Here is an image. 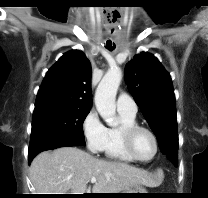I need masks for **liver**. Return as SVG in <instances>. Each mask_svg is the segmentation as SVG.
Instances as JSON below:
<instances>
[{"instance_id":"6515ba94","label":"liver","mask_w":208,"mask_h":198,"mask_svg":"<svg viewBox=\"0 0 208 198\" xmlns=\"http://www.w3.org/2000/svg\"><path fill=\"white\" fill-rule=\"evenodd\" d=\"M37 194H84L92 177V193H120L136 185L154 187L162 179L126 163L95 158L76 147L38 154L30 165Z\"/></svg>"}]
</instances>
